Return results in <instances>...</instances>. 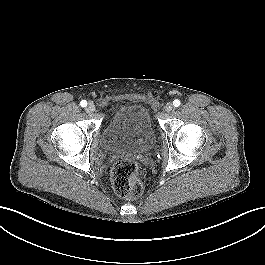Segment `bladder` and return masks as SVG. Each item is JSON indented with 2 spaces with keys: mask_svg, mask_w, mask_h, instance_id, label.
<instances>
[{
  "mask_svg": "<svg viewBox=\"0 0 265 265\" xmlns=\"http://www.w3.org/2000/svg\"><path fill=\"white\" fill-rule=\"evenodd\" d=\"M156 132L149 108L141 103H125L104 127L101 144L108 152L143 153L155 143Z\"/></svg>",
  "mask_w": 265,
  "mask_h": 265,
  "instance_id": "1",
  "label": "bladder"
}]
</instances>
